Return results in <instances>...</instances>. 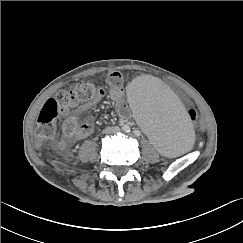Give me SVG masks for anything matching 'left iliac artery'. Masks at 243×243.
Instances as JSON below:
<instances>
[{"instance_id":"44dca946","label":"left iliac artery","mask_w":243,"mask_h":243,"mask_svg":"<svg viewBox=\"0 0 243 243\" xmlns=\"http://www.w3.org/2000/svg\"><path fill=\"white\" fill-rule=\"evenodd\" d=\"M134 134H135V135H138V131H137V130H135V131H134Z\"/></svg>"}]
</instances>
